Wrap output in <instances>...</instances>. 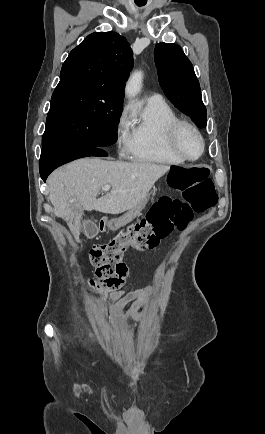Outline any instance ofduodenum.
<instances>
[{
    "mask_svg": "<svg viewBox=\"0 0 265 434\" xmlns=\"http://www.w3.org/2000/svg\"><path fill=\"white\" fill-rule=\"evenodd\" d=\"M99 225H100V227H99L100 230H102V231L105 230V228H106V227H105V225H106V220H105V219H100V220H99Z\"/></svg>",
    "mask_w": 265,
    "mask_h": 434,
    "instance_id": "410a0bca",
    "label": "duodenum"
}]
</instances>
